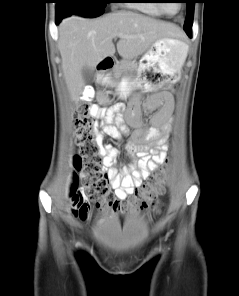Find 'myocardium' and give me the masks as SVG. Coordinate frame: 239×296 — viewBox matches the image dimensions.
<instances>
[{
    "label": "myocardium",
    "mask_w": 239,
    "mask_h": 296,
    "mask_svg": "<svg viewBox=\"0 0 239 296\" xmlns=\"http://www.w3.org/2000/svg\"><path fill=\"white\" fill-rule=\"evenodd\" d=\"M157 2V6L158 8L160 9V11L164 14H167V15H172L173 13H170L164 6L163 3H161L160 0H155ZM180 6H181V3H178V9H180Z\"/></svg>",
    "instance_id": "f54148a6"
}]
</instances>
